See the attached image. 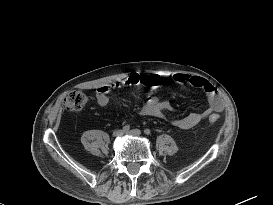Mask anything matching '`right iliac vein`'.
Returning <instances> with one entry per match:
<instances>
[{"instance_id":"1","label":"right iliac vein","mask_w":273,"mask_h":205,"mask_svg":"<svg viewBox=\"0 0 273 205\" xmlns=\"http://www.w3.org/2000/svg\"><path fill=\"white\" fill-rule=\"evenodd\" d=\"M123 135V131L120 130V129H117L113 132V136L114 137H119V136H122Z\"/></svg>"}]
</instances>
